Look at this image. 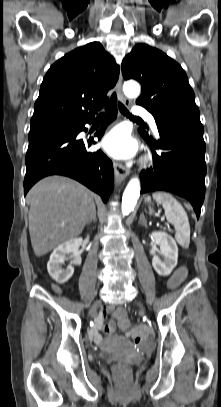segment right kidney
I'll list each match as a JSON object with an SVG mask.
<instances>
[{"label":"right kidney","mask_w":221,"mask_h":407,"mask_svg":"<svg viewBox=\"0 0 221 407\" xmlns=\"http://www.w3.org/2000/svg\"><path fill=\"white\" fill-rule=\"evenodd\" d=\"M81 244L82 238L68 240L56 247L50 255V259L47 263V269L51 278L57 283L63 284L72 277L74 267L68 266L66 269H62L61 264L64 263L68 254L72 253L74 256H76Z\"/></svg>","instance_id":"right-kidney-1"}]
</instances>
